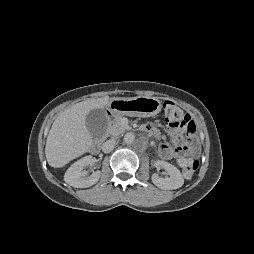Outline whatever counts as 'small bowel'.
Returning <instances> with one entry per match:
<instances>
[{
  "instance_id": "c3829d8e",
  "label": "small bowel",
  "mask_w": 254,
  "mask_h": 254,
  "mask_svg": "<svg viewBox=\"0 0 254 254\" xmlns=\"http://www.w3.org/2000/svg\"><path fill=\"white\" fill-rule=\"evenodd\" d=\"M143 130L147 131L151 135L157 136L158 131L156 127L151 123H146L143 125ZM170 134L175 138L178 145L175 148L170 147L168 144H161L159 146V156L164 160H171L175 158L177 155L183 153V152H191L190 146L192 144H195L196 150L195 154L198 152V145L195 141H192L191 139L187 138L184 139L182 137V129L181 128H170Z\"/></svg>"
}]
</instances>
